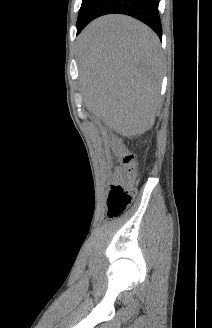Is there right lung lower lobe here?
<instances>
[{
	"label": "right lung lower lobe",
	"mask_w": 212,
	"mask_h": 328,
	"mask_svg": "<svg viewBox=\"0 0 212 328\" xmlns=\"http://www.w3.org/2000/svg\"><path fill=\"white\" fill-rule=\"evenodd\" d=\"M158 4L159 0H96L89 8L83 22L77 27V34L99 16L120 13L144 22L161 38L162 28Z\"/></svg>",
	"instance_id": "right-lung-lower-lobe-1"
}]
</instances>
